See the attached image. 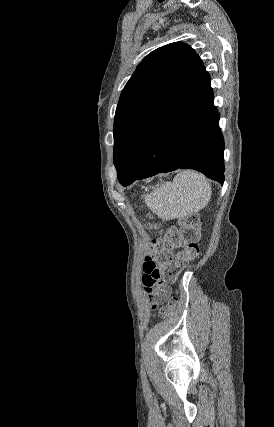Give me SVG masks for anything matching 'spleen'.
<instances>
[{"instance_id": "obj_1", "label": "spleen", "mask_w": 274, "mask_h": 427, "mask_svg": "<svg viewBox=\"0 0 274 427\" xmlns=\"http://www.w3.org/2000/svg\"><path fill=\"white\" fill-rule=\"evenodd\" d=\"M210 198L211 188L205 176L185 170L179 172L173 182L160 184L152 194H147L145 202L158 217L175 219L200 212Z\"/></svg>"}]
</instances>
